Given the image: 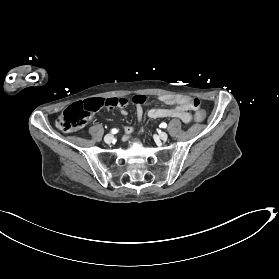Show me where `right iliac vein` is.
I'll return each mask as SVG.
<instances>
[{
    "label": "right iliac vein",
    "mask_w": 279,
    "mask_h": 279,
    "mask_svg": "<svg viewBox=\"0 0 279 279\" xmlns=\"http://www.w3.org/2000/svg\"><path fill=\"white\" fill-rule=\"evenodd\" d=\"M113 140V135L112 134H107L105 137H104V141L106 143H111Z\"/></svg>",
    "instance_id": "obj_1"
}]
</instances>
